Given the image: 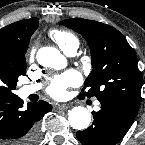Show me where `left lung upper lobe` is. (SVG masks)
<instances>
[{
	"instance_id": "left-lung-upper-lobe-1",
	"label": "left lung upper lobe",
	"mask_w": 145,
	"mask_h": 145,
	"mask_svg": "<svg viewBox=\"0 0 145 145\" xmlns=\"http://www.w3.org/2000/svg\"><path fill=\"white\" fill-rule=\"evenodd\" d=\"M61 23L81 34L91 50L93 70L82 96H95L100 103H115L137 111L142 78L136 54L126 38L117 29L93 20L74 18Z\"/></svg>"
}]
</instances>
